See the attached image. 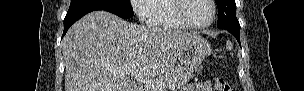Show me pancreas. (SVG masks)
<instances>
[{
    "label": "pancreas",
    "instance_id": "pancreas-1",
    "mask_svg": "<svg viewBox=\"0 0 304 91\" xmlns=\"http://www.w3.org/2000/svg\"><path fill=\"white\" fill-rule=\"evenodd\" d=\"M194 69L189 67H175L171 68L163 75H161L158 80L173 86L175 91L182 88L194 75ZM146 91H155L152 88L146 87Z\"/></svg>",
    "mask_w": 304,
    "mask_h": 91
}]
</instances>
